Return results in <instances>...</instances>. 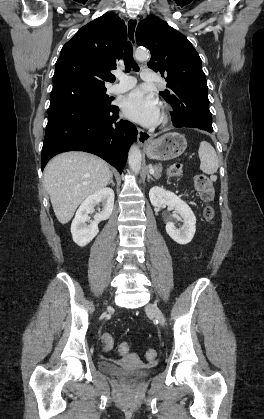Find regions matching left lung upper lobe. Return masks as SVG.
<instances>
[{
    "mask_svg": "<svg viewBox=\"0 0 264 419\" xmlns=\"http://www.w3.org/2000/svg\"><path fill=\"white\" fill-rule=\"evenodd\" d=\"M136 41L150 50L147 65L165 78L167 89L160 95L173 109L185 99L207 95L200 56L183 34L157 17H148L137 27Z\"/></svg>",
    "mask_w": 264,
    "mask_h": 419,
    "instance_id": "5c2ea615",
    "label": "left lung upper lobe"
}]
</instances>
